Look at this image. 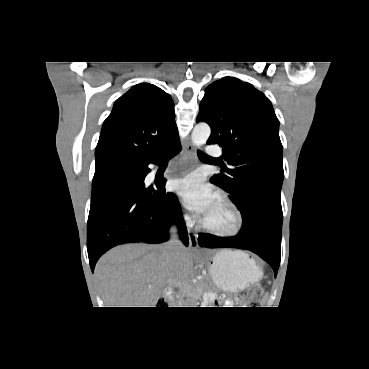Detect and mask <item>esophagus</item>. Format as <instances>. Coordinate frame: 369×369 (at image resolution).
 Returning <instances> with one entry per match:
<instances>
[{
    "label": "esophagus",
    "mask_w": 369,
    "mask_h": 369,
    "mask_svg": "<svg viewBox=\"0 0 369 369\" xmlns=\"http://www.w3.org/2000/svg\"><path fill=\"white\" fill-rule=\"evenodd\" d=\"M183 155L185 159H193L195 157L196 149L190 141L185 143L183 148ZM188 236H189V248L195 250L198 247V235L189 228Z\"/></svg>",
    "instance_id": "esophagus-1"
}]
</instances>
